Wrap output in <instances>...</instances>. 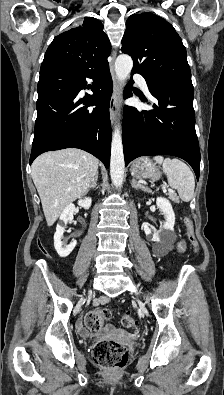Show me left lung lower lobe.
Masks as SVG:
<instances>
[{
    "label": "left lung lower lobe",
    "instance_id": "left-lung-lower-lobe-1",
    "mask_svg": "<svg viewBox=\"0 0 224 395\" xmlns=\"http://www.w3.org/2000/svg\"><path fill=\"white\" fill-rule=\"evenodd\" d=\"M146 82L157 101L151 111L125 106L122 137L125 165L140 156L173 155L187 161L198 180L200 150L195 131L193 87ZM132 95L126 88L124 97Z\"/></svg>",
    "mask_w": 224,
    "mask_h": 395
}]
</instances>
